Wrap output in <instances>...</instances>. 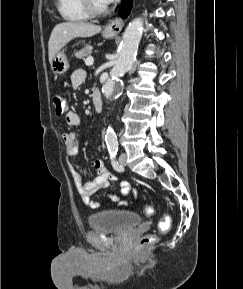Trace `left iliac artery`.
I'll return each instance as SVG.
<instances>
[{
	"label": "left iliac artery",
	"mask_w": 243,
	"mask_h": 289,
	"mask_svg": "<svg viewBox=\"0 0 243 289\" xmlns=\"http://www.w3.org/2000/svg\"><path fill=\"white\" fill-rule=\"evenodd\" d=\"M116 154H117V151H110L111 164L115 170L122 171L123 167L116 160Z\"/></svg>",
	"instance_id": "44dca946"
}]
</instances>
